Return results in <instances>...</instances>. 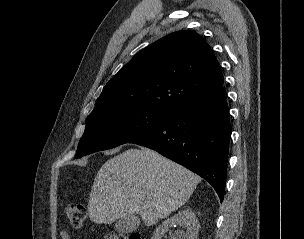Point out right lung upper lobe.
Segmentation results:
<instances>
[{
    "instance_id": "right-lung-upper-lobe-1",
    "label": "right lung upper lobe",
    "mask_w": 304,
    "mask_h": 239,
    "mask_svg": "<svg viewBox=\"0 0 304 239\" xmlns=\"http://www.w3.org/2000/svg\"><path fill=\"white\" fill-rule=\"evenodd\" d=\"M220 85L219 63L208 43L194 31H177L136 54L106 84L90 116L129 107L171 114Z\"/></svg>"
}]
</instances>
